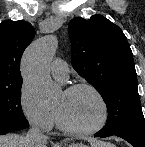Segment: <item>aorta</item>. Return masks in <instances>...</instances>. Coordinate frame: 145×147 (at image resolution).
Returning <instances> with one entry per match:
<instances>
[{
  "instance_id": "obj_1",
  "label": "aorta",
  "mask_w": 145,
  "mask_h": 147,
  "mask_svg": "<svg viewBox=\"0 0 145 147\" xmlns=\"http://www.w3.org/2000/svg\"><path fill=\"white\" fill-rule=\"evenodd\" d=\"M56 46L54 35L45 36L33 42L22 58L21 70L24 81L33 90L39 103L53 99L57 92L49 71Z\"/></svg>"
}]
</instances>
